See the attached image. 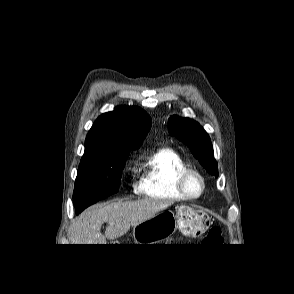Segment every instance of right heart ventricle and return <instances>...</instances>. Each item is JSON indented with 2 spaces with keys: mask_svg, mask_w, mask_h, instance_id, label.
Masks as SVG:
<instances>
[{
  "mask_svg": "<svg viewBox=\"0 0 294 294\" xmlns=\"http://www.w3.org/2000/svg\"><path fill=\"white\" fill-rule=\"evenodd\" d=\"M139 167L140 178L136 186L139 195L157 200L184 198L177 189L176 175L186 168V164L175 150L159 148L144 156Z\"/></svg>",
  "mask_w": 294,
  "mask_h": 294,
  "instance_id": "e07e8e85",
  "label": "right heart ventricle"
}]
</instances>
